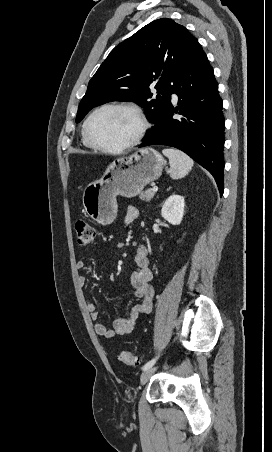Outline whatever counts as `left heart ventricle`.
<instances>
[{
  "label": "left heart ventricle",
  "instance_id": "left-heart-ventricle-1",
  "mask_svg": "<svg viewBox=\"0 0 272 452\" xmlns=\"http://www.w3.org/2000/svg\"><path fill=\"white\" fill-rule=\"evenodd\" d=\"M137 130L136 119L130 113L119 109H107L98 113L90 124L92 136L110 147L128 143Z\"/></svg>",
  "mask_w": 272,
  "mask_h": 452
}]
</instances>
